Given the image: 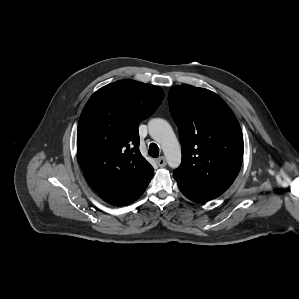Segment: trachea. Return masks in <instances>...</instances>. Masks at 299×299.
Segmentation results:
<instances>
[{"label": "trachea", "mask_w": 299, "mask_h": 299, "mask_svg": "<svg viewBox=\"0 0 299 299\" xmlns=\"http://www.w3.org/2000/svg\"><path fill=\"white\" fill-rule=\"evenodd\" d=\"M148 154L153 158H157L159 156V147L155 143H151Z\"/></svg>", "instance_id": "3493384b"}]
</instances>
